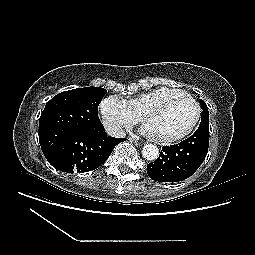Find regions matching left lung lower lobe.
Wrapping results in <instances>:
<instances>
[{
    "mask_svg": "<svg viewBox=\"0 0 255 255\" xmlns=\"http://www.w3.org/2000/svg\"><path fill=\"white\" fill-rule=\"evenodd\" d=\"M209 146V123L200 124L195 133L179 144L163 146L155 162L147 164L151 179L178 182L192 176L205 159Z\"/></svg>",
    "mask_w": 255,
    "mask_h": 255,
    "instance_id": "left-lung-lower-lobe-1",
    "label": "left lung lower lobe"
}]
</instances>
